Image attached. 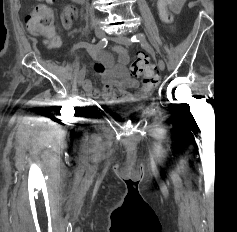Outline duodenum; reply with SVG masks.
Returning <instances> with one entry per match:
<instances>
[{"label":"duodenum","mask_w":237,"mask_h":232,"mask_svg":"<svg viewBox=\"0 0 237 232\" xmlns=\"http://www.w3.org/2000/svg\"><path fill=\"white\" fill-rule=\"evenodd\" d=\"M74 1L79 3V4H83L85 2V0H74Z\"/></svg>","instance_id":"410a0bca"}]
</instances>
